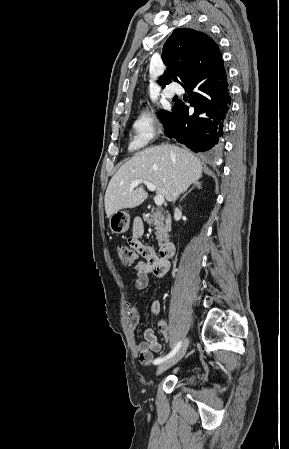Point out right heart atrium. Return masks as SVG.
Instances as JSON below:
<instances>
[{
    "label": "right heart atrium",
    "mask_w": 289,
    "mask_h": 449,
    "mask_svg": "<svg viewBox=\"0 0 289 449\" xmlns=\"http://www.w3.org/2000/svg\"><path fill=\"white\" fill-rule=\"evenodd\" d=\"M133 143L144 146L150 143L158 129L156 114L152 109L143 108L133 121Z\"/></svg>",
    "instance_id": "d8ad5b80"
}]
</instances>
